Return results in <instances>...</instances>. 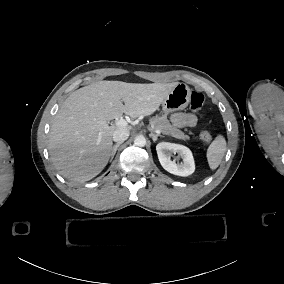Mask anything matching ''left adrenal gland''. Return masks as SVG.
Listing matches in <instances>:
<instances>
[{
  "label": "left adrenal gland",
  "instance_id": "1",
  "mask_svg": "<svg viewBox=\"0 0 284 284\" xmlns=\"http://www.w3.org/2000/svg\"><path fill=\"white\" fill-rule=\"evenodd\" d=\"M149 137L153 138L154 142L157 141L158 137L164 138L163 135L156 134L153 130H151V133L149 134Z\"/></svg>",
  "mask_w": 284,
  "mask_h": 284
}]
</instances>
